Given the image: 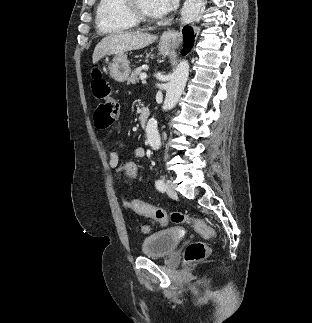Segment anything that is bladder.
<instances>
[{"instance_id": "1", "label": "bladder", "mask_w": 312, "mask_h": 323, "mask_svg": "<svg viewBox=\"0 0 312 323\" xmlns=\"http://www.w3.org/2000/svg\"><path fill=\"white\" fill-rule=\"evenodd\" d=\"M178 243H180L178 230L167 229L152 233L144 239L141 244V252L146 257L162 258L175 251Z\"/></svg>"}]
</instances>
